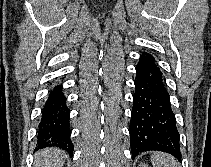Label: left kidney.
I'll return each mask as SVG.
<instances>
[{
  "instance_id": "5707ae66",
  "label": "left kidney",
  "mask_w": 211,
  "mask_h": 167,
  "mask_svg": "<svg viewBox=\"0 0 211 167\" xmlns=\"http://www.w3.org/2000/svg\"><path fill=\"white\" fill-rule=\"evenodd\" d=\"M141 167H149V166H147V165H142Z\"/></svg>"
}]
</instances>
